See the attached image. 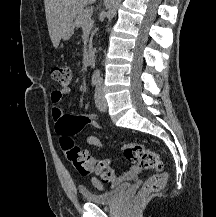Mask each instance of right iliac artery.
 Instances as JSON below:
<instances>
[{
    "label": "right iliac artery",
    "instance_id": "right-iliac-artery-1",
    "mask_svg": "<svg viewBox=\"0 0 216 217\" xmlns=\"http://www.w3.org/2000/svg\"><path fill=\"white\" fill-rule=\"evenodd\" d=\"M98 83H99V75H98V74H94V75L92 76V85H93V86H97Z\"/></svg>",
    "mask_w": 216,
    "mask_h": 217
}]
</instances>
